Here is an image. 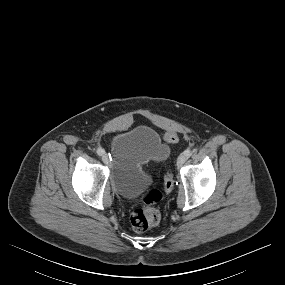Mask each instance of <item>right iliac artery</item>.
<instances>
[{"label": "right iliac artery", "mask_w": 285, "mask_h": 285, "mask_svg": "<svg viewBox=\"0 0 285 285\" xmlns=\"http://www.w3.org/2000/svg\"><path fill=\"white\" fill-rule=\"evenodd\" d=\"M104 153H105L104 149H102V148H98V149H97V154H98L99 156H102Z\"/></svg>", "instance_id": "obj_1"}]
</instances>
